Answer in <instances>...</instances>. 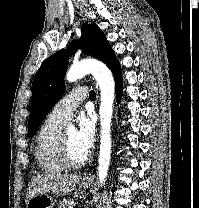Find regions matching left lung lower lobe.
<instances>
[{
    "mask_svg": "<svg viewBox=\"0 0 199 208\" xmlns=\"http://www.w3.org/2000/svg\"><path fill=\"white\" fill-rule=\"evenodd\" d=\"M116 84V98L120 102L122 95V71L119 62H116L111 68Z\"/></svg>",
    "mask_w": 199,
    "mask_h": 208,
    "instance_id": "obj_1",
    "label": "left lung lower lobe"
}]
</instances>
